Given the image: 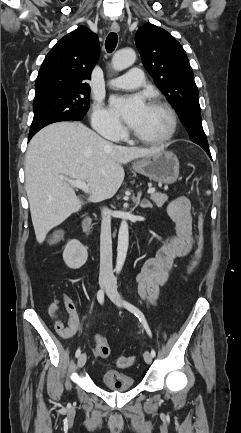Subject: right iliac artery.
Instances as JSON below:
<instances>
[{"label":"right iliac artery","instance_id":"right-iliac-artery-1","mask_svg":"<svg viewBox=\"0 0 241 433\" xmlns=\"http://www.w3.org/2000/svg\"><path fill=\"white\" fill-rule=\"evenodd\" d=\"M97 300L99 303H101V304L103 303V301H104V291L103 290L98 291ZM80 354H81V350L77 349V351L75 353L76 358H78L80 356Z\"/></svg>","mask_w":241,"mask_h":433}]
</instances>
